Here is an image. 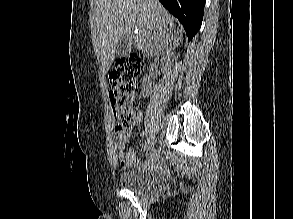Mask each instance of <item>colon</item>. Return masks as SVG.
<instances>
[{"mask_svg":"<svg viewBox=\"0 0 293 219\" xmlns=\"http://www.w3.org/2000/svg\"><path fill=\"white\" fill-rule=\"evenodd\" d=\"M144 62L136 54L121 58L116 68L109 74L110 97L117 115V127L126 129L136 118L137 78L142 72Z\"/></svg>","mask_w":293,"mask_h":219,"instance_id":"1","label":"colon"}]
</instances>
